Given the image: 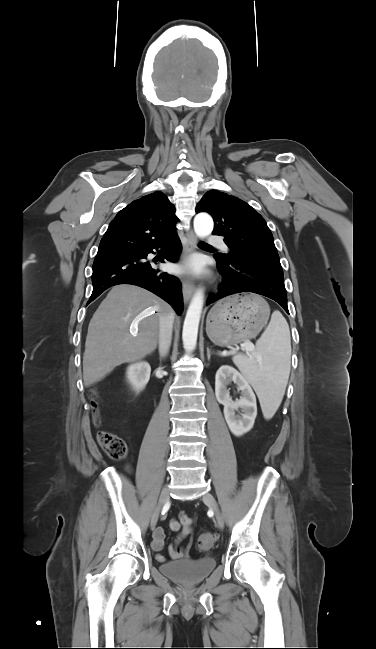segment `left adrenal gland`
Wrapping results in <instances>:
<instances>
[{"label":"left adrenal gland","mask_w":376,"mask_h":649,"mask_svg":"<svg viewBox=\"0 0 376 649\" xmlns=\"http://www.w3.org/2000/svg\"><path fill=\"white\" fill-rule=\"evenodd\" d=\"M210 357H211V352H210V349L207 348V359H208V361H210Z\"/></svg>","instance_id":"a2214340"}]
</instances>
